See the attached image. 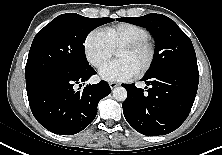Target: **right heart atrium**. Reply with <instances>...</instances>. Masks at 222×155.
I'll list each match as a JSON object with an SVG mask.
<instances>
[{
    "instance_id": "right-heart-atrium-1",
    "label": "right heart atrium",
    "mask_w": 222,
    "mask_h": 155,
    "mask_svg": "<svg viewBox=\"0 0 222 155\" xmlns=\"http://www.w3.org/2000/svg\"><path fill=\"white\" fill-rule=\"evenodd\" d=\"M84 52L88 62L99 69L112 57L114 51L103 33L93 30L85 38Z\"/></svg>"
}]
</instances>
